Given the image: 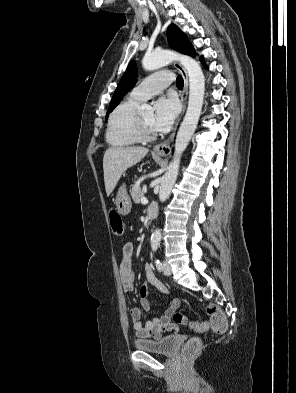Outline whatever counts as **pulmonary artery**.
I'll return each mask as SVG.
<instances>
[{
    "label": "pulmonary artery",
    "mask_w": 296,
    "mask_h": 393,
    "mask_svg": "<svg viewBox=\"0 0 296 393\" xmlns=\"http://www.w3.org/2000/svg\"><path fill=\"white\" fill-rule=\"evenodd\" d=\"M172 82L173 75L168 71L151 74L132 89L130 98L137 102L146 101L151 96L164 90Z\"/></svg>",
    "instance_id": "pulmonary-artery-1"
}]
</instances>
